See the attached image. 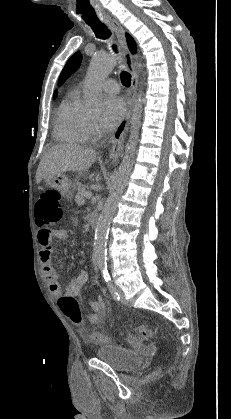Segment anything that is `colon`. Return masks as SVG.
Masks as SVG:
<instances>
[{
  "label": "colon",
  "instance_id": "colon-1",
  "mask_svg": "<svg viewBox=\"0 0 231 419\" xmlns=\"http://www.w3.org/2000/svg\"><path fill=\"white\" fill-rule=\"evenodd\" d=\"M35 218L38 225L43 228L58 224L63 218V206L60 194L56 190H47L39 197L35 205ZM58 305L63 314L76 326H81L82 316L79 302L71 296H61L58 299ZM137 333L144 339H151V330L140 325L137 327ZM88 340L100 339L105 343L110 342L108 338H100L96 334L88 333Z\"/></svg>",
  "mask_w": 231,
  "mask_h": 419
}]
</instances>
